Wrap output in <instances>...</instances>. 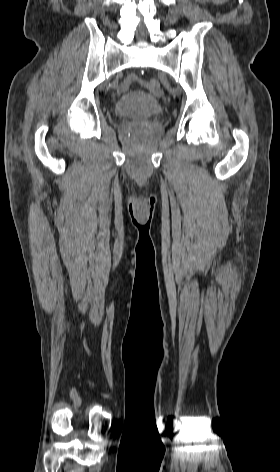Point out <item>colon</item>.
I'll return each mask as SVG.
<instances>
[{
  "mask_svg": "<svg viewBox=\"0 0 280 472\" xmlns=\"http://www.w3.org/2000/svg\"><path fill=\"white\" fill-rule=\"evenodd\" d=\"M148 88L150 89V91H152L153 93L155 94H159L160 93V85H159V82L155 79H151L149 80L148 82Z\"/></svg>",
  "mask_w": 280,
  "mask_h": 472,
  "instance_id": "obj_1",
  "label": "colon"
}]
</instances>
